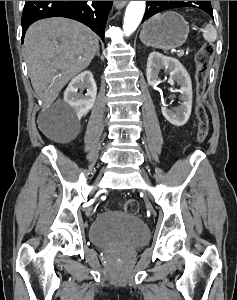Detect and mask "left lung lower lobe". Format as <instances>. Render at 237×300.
<instances>
[{
    "instance_id": "0a47b994",
    "label": "left lung lower lobe",
    "mask_w": 237,
    "mask_h": 300,
    "mask_svg": "<svg viewBox=\"0 0 237 300\" xmlns=\"http://www.w3.org/2000/svg\"><path fill=\"white\" fill-rule=\"evenodd\" d=\"M206 12L213 18V11H212V9L207 10Z\"/></svg>"
}]
</instances>
